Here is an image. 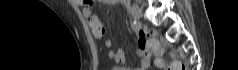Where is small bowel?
<instances>
[{
    "label": "small bowel",
    "instance_id": "small-bowel-1",
    "mask_svg": "<svg viewBox=\"0 0 238 70\" xmlns=\"http://www.w3.org/2000/svg\"><path fill=\"white\" fill-rule=\"evenodd\" d=\"M101 3L110 4L114 3L115 0H100ZM82 13L84 17L87 19L88 26L94 38L100 39L104 35V27L100 19L97 15H95L87 3H82ZM147 39L144 35H140L138 39V48L136 50V54L141 57V63L138 67L133 68V70H147L150 66V57L147 49ZM106 47H110L112 45V41L110 39H106L104 41ZM109 57L114 60L117 64H125L126 58L122 49H117L116 51H110ZM116 69L119 70H129L124 66H117Z\"/></svg>",
    "mask_w": 238,
    "mask_h": 70
}]
</instances>
